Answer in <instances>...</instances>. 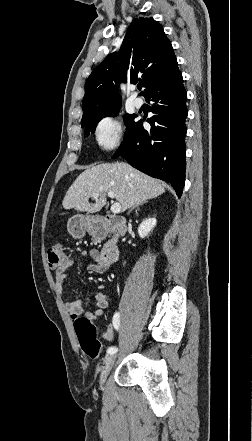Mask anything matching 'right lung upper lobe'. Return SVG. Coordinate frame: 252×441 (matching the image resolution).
Returning <instances> with one entry per match:
<instances>
[{
    "label": "right lung upper lobe",
    "instance_id": "1",
    "mask_svg": "<svg viewBox=\"0 0 252 441\" xmlns=\"http://www.w3.org/2000/svg\"><path fill=\"white\" fill-rule=\"evenodd\" d=\"M176 61L163 27L152 17L133 19L119 52L108 55L91 73L85 84L81 124L98 114L121 107L120 80L142 82L146 92Z\"/></svg>",
    "mask_w": 252,
    "mask_h": 441
}]
</instances>
